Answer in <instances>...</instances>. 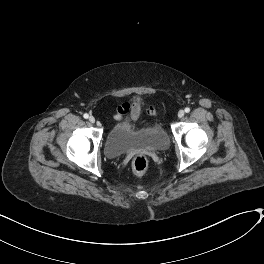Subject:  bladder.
I'll return each mask as SVG.
<instances>
[{
	"label": "bladder",
	"instance_id": "1",
	"mask_svg": "<svg viewBox=\"0 0 264 264\" xmlns=\"http://www.w3.org/2000/svg\"><path fill=\"white\" fill-rule=\"evenodd\" d=\"M169 147V136L158 123H148L141 127L118 123L108 133L104 152L109 159L117 158L134 150L161 152Z\"/></svg>",
	"mask_w": 264,
	"mask_h": 264
}]
</instances>
